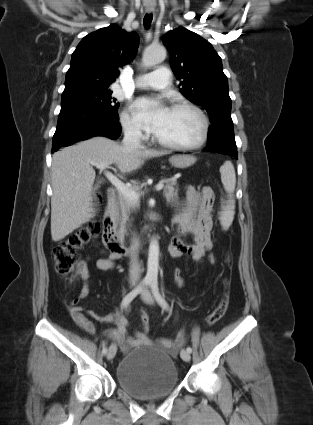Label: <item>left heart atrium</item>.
<instances>
[{
	"instance_id": "39dd6f15",
	"label": "left heart atrium",
	"mask_w": 313,
	"mask_h": 425,
	"mask_svg": "<svg viewBox=\"0 0 313 425\" xmlns=\"http://www.w3.org/2000/svg\"><path fill=\"white\" fill-rule=\"evenodd\" d=\"M135 108L138 120L154 133L161 129L170 110L160 101L147 98L138 99Z\"/></svg>"
}]
</instances>
